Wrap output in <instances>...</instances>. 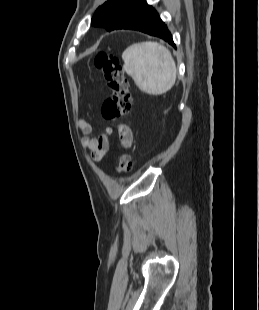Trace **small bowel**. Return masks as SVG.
I'll return each mask as SVG.
<instances>
[{
    "mask_svg": "<svg viewBox=\"0 0 259 310\" xmlns=\"http://www.w3.org/2000/svg\"><path fill=\"white\" fill-rule=\"evenodd\" d=\"M78 129L86 135L82 139L83 146L90 152L91 157L95 161H100L106 155L109 148V136L112 134L110 127H105L99 136H92V127L84 119L77 122ZM119 137L125 148L132 146L134 137L129 126L121 125L119 128Z\"/></svg>",
    "mask_w": 259,
    "mask_h": 310,
    "instance_id": "small-bowel-1",
    "label": "small bowel"
}]
</instances>
